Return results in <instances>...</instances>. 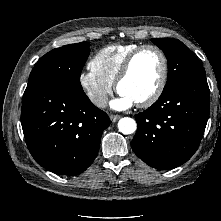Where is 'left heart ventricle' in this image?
Masks as SVG:
<instances>
[{
	"label": "left heart ventricle",
	"instance_id": "left-heart-ventricle-1",
	"mask_svg": "<svg viewBox=\"0 0 221 221\" xmlns=\"http://www.w3.org/2000/svg\"><path fill=\"white\" fill-rule=\"evenodd\" d=\"M161 75L158 53L147 49L135 59L131 72L120 85V93L138 103L155 90Z\"/></svg>",
	"mask_w": 221,
	"mask_h": 221
}]
</instances>
